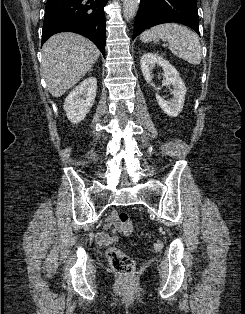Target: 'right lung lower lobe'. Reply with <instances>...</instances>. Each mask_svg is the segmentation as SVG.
I'll use <instances>...</instances> for the list:
<instances>
[{
  "label": "right lung lower lobe",
  "mask_w": 245,
  "mask_h": 314,
  "mask_svg": "<svg viewBox=\"0 0 245 314\" xmlns=\"http://www.w3.org/2000/svg\"><path fill=\"white\" fill-rule=\"evenodd\" d=\"M108 0H47L42 44L52 35L72 31L90 39L105 55V14Z\"/></svg>",
  "instance_id": "obj_1"
}]
</instances>
